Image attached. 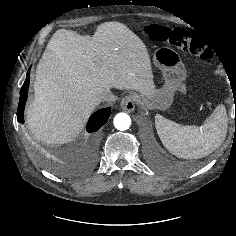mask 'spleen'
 <instances>
[{"label": "spleen", "mask_w": 236, "mask_h": 236, "mask_svg": "<svg viewBox=\"0 0 236 236\" xmlns=\"http://www.w3.org/2000/svg\"><path fill=\"white\" fill-rule=\"evenodd\" d=\"M155 126L162 144L169 152L178 157L198 159L211 154L225 140L226 109L223 105L216 107L201 127L182 126L160 114L155 116Z\"/></svg>", "instance_id": "spleen-1"}]
</instances>
